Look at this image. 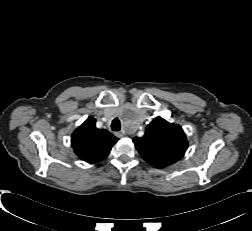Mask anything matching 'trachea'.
I'll list each match as a JSON object with an SVG mask.
<instances>
[{
	"label": "trachea",
	"instance_id": "3493384b",
	"mask_svg": "<svg viewBox=\"0 0 252 231\" xmlns=\"http://www.w3.org/2000/svg\"><path fill=\"white\" fill-rule=\"evenodd\" d=\"M111 128H112L113 131H119L121 129V124H120V121H119L118 118H115L112 121Z\"/></svg>",
	"mask_w": 252,
	"mask_h": 231
}]
</instances>
